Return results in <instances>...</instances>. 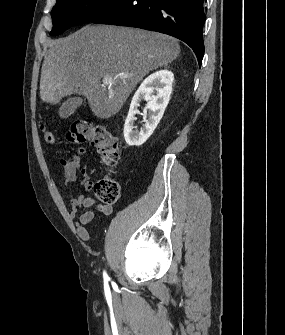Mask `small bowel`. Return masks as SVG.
<instances>
[{"mask_svg": "<svg viewBox=\"0 0 285 335\" xmlns=\"http://www.w3.org/2000/svg\"><path fill=\"white\" fill-rule=\"evenodd\" d=\"M60 162L63 167L64 185L70 193V216L72 219H77L78 236L82 240L88 241L90 239V233L87 227L94 218L92 208L97 207L99 212L103 215H110L113 208L111 205L98 204L94 198L89 196L73 195L71 190L78 180H80L86 188L91 187V178L88 169L86 166L81 167L77 163L65 159H61ZM80 209L84 210L81 214H79Z\"/></svg>", "mask_w": 285, "mask_h": 335, "instance_id": "obj_1", "label": "small bowel"}]
</instances>
